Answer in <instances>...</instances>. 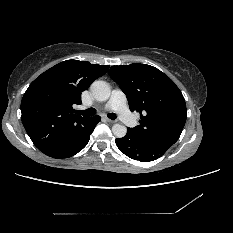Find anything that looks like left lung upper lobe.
I'll use <instances>...</instances> for the list:
<instances>
[{
  "instance_id": "obj_1",
  "label": "left lung upper lobe",
  "mask_w": 233,
  "mask_h": 233,
  "mask_svg": "<svg viewBox=\"0 0 233 233\" xmlns=\"http://www.w3.org/2000/svg\"><path fill=\"white\" fill-rule=\"evenodd\" d=\"M109 74L126 94L130 110L141 114L140 125L127 130L148 144L169 149L179 139L187 117L176 84L159 69L140 63L111 66Z\"/></svg>"
}]
</instances>
